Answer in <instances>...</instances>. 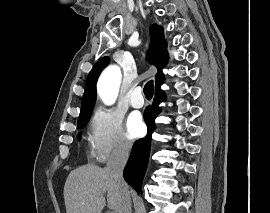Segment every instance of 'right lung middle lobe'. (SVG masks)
I'll return each instance as SVG.
<instances>
[{
	"label": "right lung middle lobe",
	"mask_w": 270,
	"mask_h": 213,
	"mask_svg": "<svg viewBox=\"0 0 270 213\" xmlns=\"http://www.w3.org/2000/svg\"><path fill=\"white\" fill-rule=\"evenodd\" d=\"M90 115H91V113H88V114L79 116V118H78V123H77V127H78V128H83V127L87 124V122H88V120H89V118H90ZM80 137H81V135L79 134V138H80Z\"/></svg>",
	"instance_id": "obj_1"
}]
</instances>
